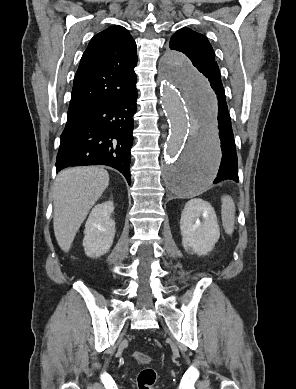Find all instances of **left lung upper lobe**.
Masks as SVG:
<instances>
[{"mask_svg":"<svg viewBox=\"0 0 296 389\" xmlns=\"http://www.w3.org/2000/svg\"><path fill=\"white\" fill-rule=\"evenodd\" d=\"M169 46L184 53L205 77L219 71L213 48L204 35L182 28L171 37Z\"/></svg>","mask_w":296,"mask_h":389,"instance_id":"1","label":"left lung upper lobe"}]
</instances>
